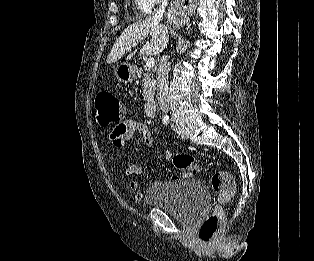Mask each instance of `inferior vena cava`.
Here are the masks:
<instances>
[{
  "instance_id": "602c4592",
  "label": "inferior vena cava",
  "mask_w": 314,
  "mask_h": 261,
  "mask_svg": "<svg viewBox=\"0 0 314 261\" xmlns=\"http://www.w3.org/2000/svg\"><path fill=\"white\" fill-rule=\"evenodd\" d=\"M168 0H162L159 10L155 14L156 20H161L167 6ZM168 56H163L160 60L157 70V98L160 109L163 113L169 111V97H168Z\"/></svg>"
}]
</instances>
